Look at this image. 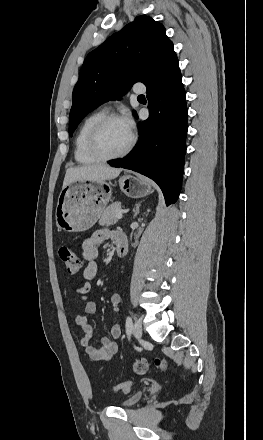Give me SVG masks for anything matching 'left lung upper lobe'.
Returning a JSON list of instances; mask_svg holds the SVG:
<instances>
[{
    "mask_svg": "<svg viewBox=\"0 0 263 440\" xmlns=\"http://www.w3.org/2000/svg\"><path fill=\"white\" fill-rule=\"evenodd\" d=\"M177 59L162 24L139 16L90 52L73 91L69 134L104 102L120 99L136 82L152 80Z\"/></svg>",
    "mask_w": 263,
    "mask_h": 440,
    "instance_id": "5c2ea615",
    "label": "left lung upper lobe"
}]
</instances>
